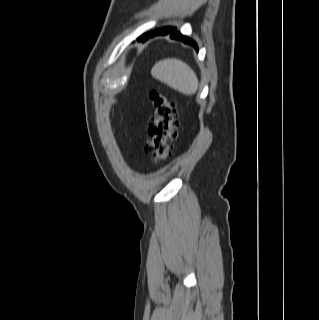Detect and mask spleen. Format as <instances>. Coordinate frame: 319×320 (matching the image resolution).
Segmentation results:
<instances>
[{"instance_id":"obj_1","label":"spleen","mask_w":319,"mask_h":320,"mask_svg":"<svg viewBox=\"0 0 319 320\" xmlns=\"http://www.w3.org/2000/svg\"><path fill=\"white\" fill-rule=\"evenodd\" d=\"M151 74L155 79L185 95L195 94L199 86L193 69L176 58L158 61L153 66Z\"/></svg>"}]
</instances>
